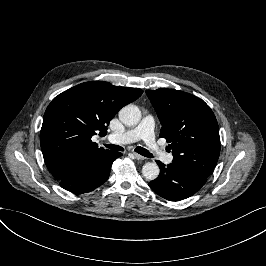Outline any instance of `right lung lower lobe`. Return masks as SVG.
<instances>
[{
  "label": "right lung lower lobe",
  "mask_w": 266,
  "mask_h": 266,
  "mask_svg": "<svg viewBox=\"0 0 266 266\" xmlns=\"http://www.w3.org/2000/svg\"><path fill=\"white\" fill-rule=\"evenodd\" d=\"M121 155L106 150L80 158L69 165L58 181L64 189L75 194L90 192L108 179L113 161Z\"/></svg>",
  "instance_id": "obj_1"
}]
</instances>
